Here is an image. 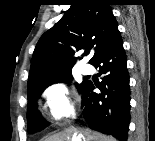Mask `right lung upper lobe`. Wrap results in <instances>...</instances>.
Here are the masks:
<instances>
[{
	"instance_id": "obj_1",
	"label": "right lung upper lobe",
	"mask_w": 155,
	"mask_h": 141,
	"mask_svg": "<svg viewBox=\"0 0 155 141\" xmlns=\"http://www.w3.org/2000/svg\"><path fill=\"white\" fill-rule=\"evenodd\" d=\"M117 32L118 25L107 0H75L64 16L39 39L32 56L28 88L71 71L77 60L75 52L81 49L94 52L89 61L92 64Z\"/></svg>"
}]
</instances>
